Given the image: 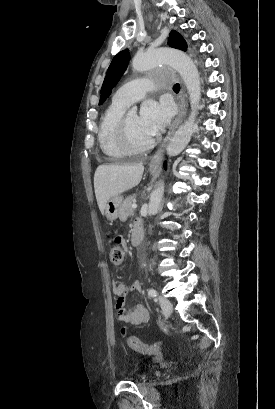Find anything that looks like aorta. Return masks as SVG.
Here are the masks:
<instances>
[{"label": "aorta", "mask_w": 275, "mask_h": 409, "mask_svg": "<svg viewBox=\"0 0 275 409\" xmlns=\"http://www.w3.org/2000/svg\"><path fill=\"white\" fill-rule=\"evenodd\" d=\"M131 58L133 70L141 72V70H147L148 65H160L161 62H166V64H170L172 68H175L184 80L191 104L190 116H188V120H185L184 124L179 126L178 130H175L166 148L169 156H176L187 146L196 126L195 116L201 98L198 68L190 56H187L182 50H175V48H158L157 51H132ZM127 114L128 116H137V108H130ZM163 190L164 184L159 182L157 188L151 192L148 215L157 213Z\"/></svg>", "instance_id": "aorta-1"}]
</instances>
